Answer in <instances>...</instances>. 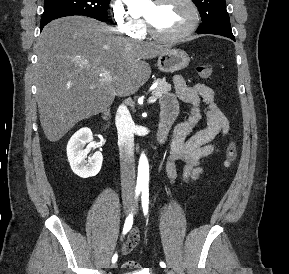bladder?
<instances>
[{
  "mask_svg": "<svg viewBox=\"0 0 289 274\" xmlns=\"http://www.w3.org/2000/svg\"><path fill=\"white\" fill-rule=\"evenodd\" d=\"M123 274H146V273H143V272H125Z\"/></svg>",
  "mask_w": 289,
  "mask_h": 274,
  "instance_id": "obj_1",
  "label": "bladder"
}]
</instances>
